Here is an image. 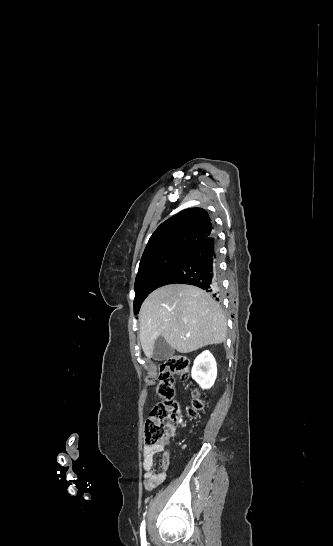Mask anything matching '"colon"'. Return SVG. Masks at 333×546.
<instances>
[{
    "mask_svg": "<svg viewBox=\"0 0 333 546\" xmlns=\"http://www.w3.org/2000/svg\"><path fill=\"white\" fill-rule=\"evenodd\" d=\"M184 380L190 376V360L182 355H175L160 364L159 384L157 388L160 401L153 407L145 422L144 440L147 445L166 444L175 428L182 422L179 405L174 398V376ZM190 414L205 407V401L198 392H194Z\"/></svg>",
    "mask_w": 333,
    "mask_h": 546,
    "instance_id": "colon-1",
    "label": "colon"
}]
</instances>
